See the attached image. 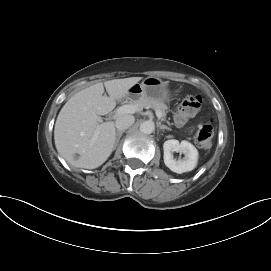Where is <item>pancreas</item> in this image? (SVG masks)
Wrapping results in <instances>:
<instances>
[{
	"instance_id": "1",
	"label": "pancreas",
	"mask_w": 271,
	"mask_h": 271,
	"mask_svg": "<svg viewBox=\"0 0 271 271\" xmlns=\"http://www.w3.org/2000/svg\"><path fill=\"white\" fill-rule=\"evenodd\" d=\"M129 102L131 104L137 105L140 109L149 107L154 109L155 111H160L164 118L166 116L165 111L167 109V106L163 102L150 98H139L137 100H130Z\"/></svg>"
}]
</instances>
